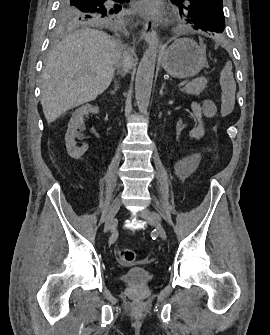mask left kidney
Returning a JSON list of instances; mask_svg holds the SVG:
<instances>
[{
  "label": "left kidney",
  "instance_id": "obj_1",
  "mask_svg": "<svg viewBox=\"0 0 270 335\" xmlns=\"http://www.w3.org/2000/svg\"><path fill=\"white\" fill-rule=\"evenodd\" d=\"M191 110L194 112L197 120H198V128H194V130H191L189 132L190 138H196V140H200V138H203L205 134L204 130V124L202 122V110L200 108V104H196V102H192L191 104Z\"/></svg>",
  "mask_w": 270,
  "mask_h": 335
}]
</instances>
